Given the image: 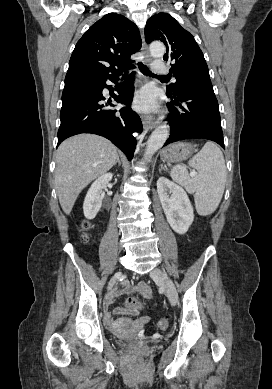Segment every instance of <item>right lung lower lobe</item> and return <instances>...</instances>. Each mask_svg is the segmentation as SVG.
Masks as SVG:
<instances>
[{
  "label": "right lung lower lobe",
  "mask_w": 272,
  "mask_h": 389,
  "mask_svg": "<svg viewBox=\"0 0 272 389\" xmlns=\"http://www.w3.org/2000/svg\"><path fill=\"white\" fill-rule=\"evenodd\" d=\"M120 74L94 83L66 85L64 87L58 145L75 134L94 133L109 139L126 154L129 160L133 158L136 139L132 133L142 131L140 118L131 109L134 73L116 90L119 95L111 93L115 101L124 103L127 107L120 110L112 109L111 107L114 105L111 100H106L102 94L104 88L110 90L106 80L115 82Z\"/></svg>",
  "instance_id": "obj_1"
}]
</instances>
